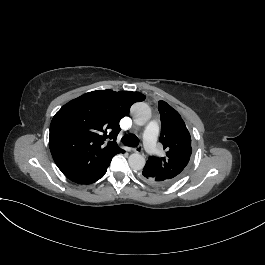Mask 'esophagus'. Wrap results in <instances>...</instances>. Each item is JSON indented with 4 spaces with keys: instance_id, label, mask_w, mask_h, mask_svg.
<instances>
[{
    "instance_id": "obj_1",
    "label": "esophagus",
    "mask_w": 265,
    "mask_h": 265,
    "mask_svg": "<svg viewBox=\"0 0 265 265\" xmlns=\"http://www.w3.org/2000/svg\"><path fill=\"white\" fill-rule=\"evenodd\" d=\"M133 151L136 153H141L143 151V145L139 144L137 147L133 149Z\"/></svg>"
}]
</instances>
